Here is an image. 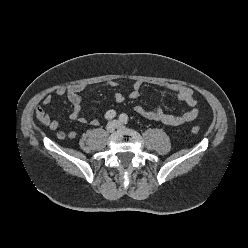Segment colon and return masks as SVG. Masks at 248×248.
I'll return each instance as SVG.
<instances>
[{
  "instance_id": "obj_1",
  "label": "colon",
  "mask_w": 248,
  "mask_h": 248,
  "mask_svg": "<svg viewBox=\"0 0 248 248\" xmlns=\"http://www.w3.org/2000/svg\"><path fill=\"white\" fill-rule=\"evenodd\" d=\"M199 131H200V127L199 126L194 125V126L191 127V132L192 133L197 134V133H199Z\"/></svg>"
}]
</instances>
